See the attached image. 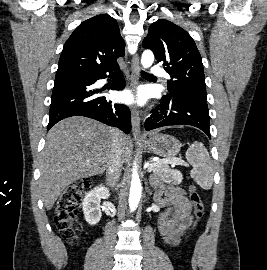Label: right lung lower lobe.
Wrapping results in <instances>:
<instances>
[{
  "mask_svg": "<svg viewBox=\"0 0 267 270\" xmlns=\"http://www.w3.org/2000/svg\"><path fill=\"white\" fill-rule=\"evenodd\" d=\"M118 64L109 70L92 72L74 77L56 78L50 105L49 130L58 121L71 116H85L104 124L118 127L128 134L131 128V115L127 106L113 104L106 97L99 96L100 90L92 85L98 79L113 77L112 90H122L125 80L121 73L116 74Z\"/></svg>",
  "mask_w": 267,
  "mask_h": 270,
  "instance_id": "obj_1",
  "label": "right lung lower lobe"
}]
</instances>
